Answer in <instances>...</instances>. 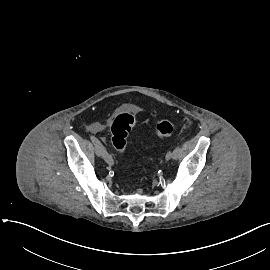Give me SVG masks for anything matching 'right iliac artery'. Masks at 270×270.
<instances>
[{"mask_svg": "<svg viewBox=\"0 0 270 270\" xmlns=\"http://www.w3.org/2000/svg\"><path fill=\"white\" fill-rule=\"evenodd\" d=\"M90 139L92 143L100 150L103 159L108 163V164H113L114 160L113 158L108 154L104 146L101 144V142L93 135H90Z\"/></svg>", "mask_w": 270, "mask_h": 270, "instance_id": "obj_1", "label": "right iliac artery"}]
</instances>
